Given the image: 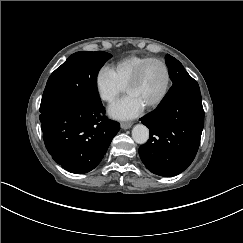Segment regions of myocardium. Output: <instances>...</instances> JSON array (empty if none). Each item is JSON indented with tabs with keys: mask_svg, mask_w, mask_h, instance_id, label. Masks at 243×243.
Wrapping results in <instances>:
<instances>
[{
	"mask_svg": "<svg viewBox=\"0 0 243 243\" xmlns=\"http://www.w3.org/2000/svg\"><path fill=\"white\" fill-rule=\"evenodd\" d=\"M151 62H158L164 67V69L166 70V73H167V85H166L164 92L157 100L146 105V107L150 108V109L156 108L159 105H161L165 101V99L168 97V95L171 91V88H172V84H173L172 71H171L169 65L163 59L158 58V57H151V58L145 60L144 62H142L125 85V91L127 92V90L139 80L144 68Z\"/></svg>",
	"mask_w": 243,
	"mask_h": 243,
	"instance_id": "myocardium-1",
	"label": "myocardium"
}]
</instances>
